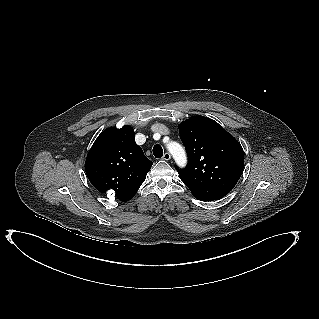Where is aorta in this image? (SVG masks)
Here are the masks:
<instances>
[{"mask_svg":"<svg viewBox=\"0 0 319 319\" xmlns=\"http://www.w3.org/2000/svg\"><path fill=\"white\" fill-rule=\"evenodd\" d=\"M167 148L173 156L177 166L184 168L187 165V156L184 148L177 142H170L167 144Z\"/></svg>","mask_w":319,"mask_h":319,"instance_id":"obj_1","label":"aorta"}]
</instances>
